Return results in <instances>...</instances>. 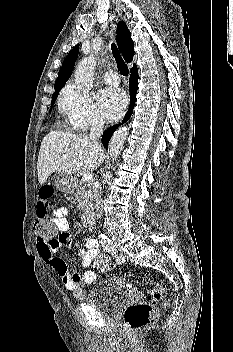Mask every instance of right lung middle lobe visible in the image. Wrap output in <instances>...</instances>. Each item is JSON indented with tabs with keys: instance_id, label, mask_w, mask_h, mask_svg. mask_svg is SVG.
<instances>
[{
	"instance_id": "dd1d6c3e",
	"label": "right lung middle lobe",
	"mask_w": 233,
	"mask_h": 352,
	"mask_svg": "<svg viewBox=\"0 0 233 352\" xmlns=\"http://www.w3.org/2000/svg\"><path fill=\"white\" fill-rule=\"evenodd\" d=\"M59 91H60V90L55 91V92H54V94L52 95V102H51V106H53V105H54L55 100H56V98H57V96H58Z\"/></svg>"
}]
</instances>
